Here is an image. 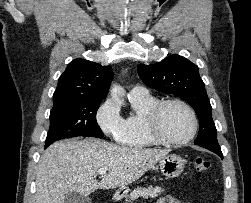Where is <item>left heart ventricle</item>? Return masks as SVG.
Here are the masks:
<instances>
[{
	"label": "left heart ventricle",
	"instance_id": "left-heart-ventricle-1",
	"mask_svg": "<svg viewBox=\"0 0 251 203\" xmlns=\"http://www.w3.org/2000/svg\"><path fill=\"white\" fill-rule=\"evenodd\" d=\"M192 128V120L187 110L179 104L167 105L160 117V131L169 139L186 137Z\"/></svg>",
	"mask_w": 251,
	"mask_h": 203
}]
</instances>
